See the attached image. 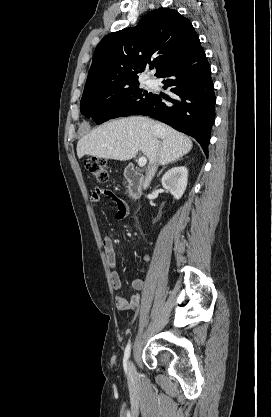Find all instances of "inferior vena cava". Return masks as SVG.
<instances>
[{"mask_svg": "<svg viewBox=\"0 0 272 417\" xmlns=\"http://www.w3.org/2000/svg\"><path fill=\"white\" fill-rule=\"evenodd\" d=\"M157 171V164L152 165L151 167H149L147 173H146V178L144 181V188H147L152 180V178L155 175V172Z\"/></svg>", "mask_w": 272, "mask_h": 417, "instance_id": "inferior-vena-cava-1", "label": "inferior vena cava"}]
</instances>
